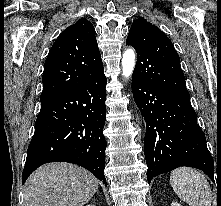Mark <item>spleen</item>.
<instances>
[{"mask_svg": "<svg viewBox=\"0 0 221 206\" xmlns=\"http://www.w3.org/2000/svg\"><path fill=\"white\" fill-rule=\"evenodd\" d=\"M170 184L174 192L189 206H211V188L205 176L190 167L171 172Z\"/></svg>", "mask_w": 221, "mask_h": 206, "instance_id": "3e777b00", "label": "spleen"}]
</instances>
